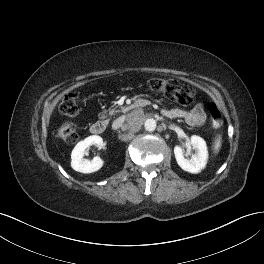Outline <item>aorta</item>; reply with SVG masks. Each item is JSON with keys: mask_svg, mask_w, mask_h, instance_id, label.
Listing matches in <instances>:
<instances>
[{"mask_svg": "<svg viewBox=\"0 0 264 264\" xmlns=\"http://www.w3.org/2000/svg\"><path fill=\"white\" fill-rule=\"evenodd\" d=\"M144 127L149 132L154 131L157 127L156 120L153 118L146 119L144 122Z\"/></svg>", "mask_w": 264, "mask_h": 264, "instance_id": "obj_1", "label": "aorta"}]
</instances>
